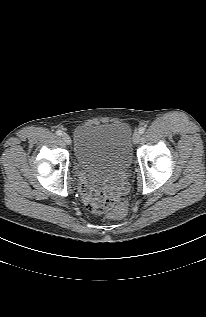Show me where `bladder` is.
Segmentation results:
<instances>
[{
  "label": "bladder",
  "mask_w": 206,
  "mask_h": 317,
  "mask_svg": "<svg viewBox=\"0 0 206 317\" xmlns=\"http://www.w3.org/2000/svg\"><path fill=\"white\" fill-rule=\"evenodd\" d=\"M132 129L127 123L82 124L74 131L76 162L92 177L123 172L132 163Z\"/></svg>",
  "instance_id": "obj_1"
}]
</instances>
